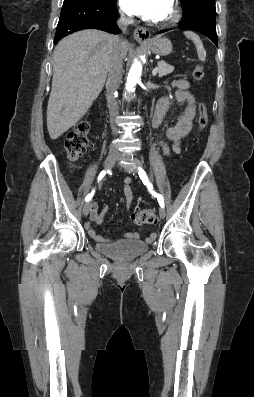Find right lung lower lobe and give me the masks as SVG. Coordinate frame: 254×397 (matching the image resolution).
Returning a JSON list of instances; mask_svg holds the SVG:
<instances>
[{"instance_id":"1","label":"right lung lower lobe","mask_w":254,"mask_h":397,"mask_svg":"<svg viewBox=\"0 0 254 397\" xmlns=\"http://www.w3.org/2000/svg\"><path fill=\"white\" fill-rule=\"evenodd\" d=\"M116 2L113 5H97L84 0H64L57 25L54 44L63 37L83 29H99L117 34Z\"/></svg>"}]
</instances>
